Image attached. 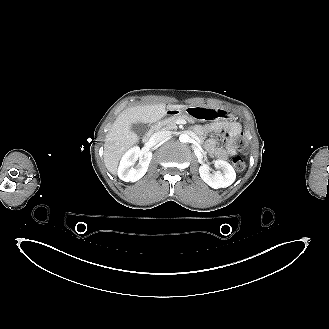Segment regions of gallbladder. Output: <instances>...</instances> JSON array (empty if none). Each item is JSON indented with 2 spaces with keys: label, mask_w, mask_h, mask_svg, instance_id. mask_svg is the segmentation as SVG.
Wrapping results in <instances>:
<instances>
[{
  "label": "gallbladder",
  "mask_w": 329,
  "mask_h": 329,
  "mask_svg": "<svg viewBox=\"0 0 329 329\" xmlns=\"http://www.w3.org/2000/svg\"><path fill=\"white\" fill-rule=\"evenodd\" d=\"M131 130L139 137L145 136L147 131L149 130V125L144 122H137L132 124Z\"/></svg>",
  "instance_id": "1"
}]
</instances>
